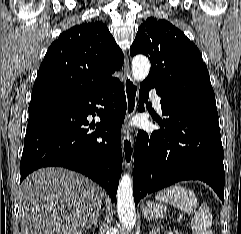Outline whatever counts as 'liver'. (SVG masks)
I'll list each match as a JSON object with an SVG mask.
<instances>
[{
  "mask_svg": "<svg viewBox=\"0 0 241 234\" xmlns=\"http://www.w3.org/2000/svg\"><path fill=\"white\" fill-rule=\"evenodd\" d=\"M105 192L63 168H42L20 186L21 234H82L101 210Z\"/></svg>",
  "mask_w": 241,
  "mask_h": 234,
  "instance_id": "1",
  "label": "liver"
}]
</instances>
